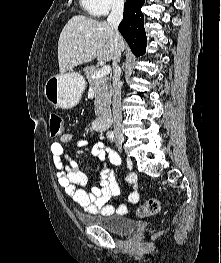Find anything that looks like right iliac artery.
<instances>
[{
  "label": "right iliac artery",
  "mask_w": 221,
  "mask_h": 263,
  "mask_svg": "<svg viewBox=\"0 0 221 263\" xmlns=\"http://www.w3.org/2000/svg\"><path fill=\"white\" fill-rule=\"evenodd\" d=\"M107 137L109 138V140L113 141L114 140V133L113 132L108 133Z\"/></svg>",
  "instance_id": "1"
}]
</instances>
